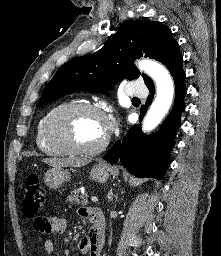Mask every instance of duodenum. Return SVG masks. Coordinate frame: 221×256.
Returning a JSON list of instances; mask_svg holds the SVG:
<instances>
[{
	"mask_svg": "<svg viewBox=\"0 0 221 256\" xmlns=\"http://www.w3.org/2000/svg\"><path fill=\"white\" fill-rule=\"evenodd\" d=\"M93 235L96 239L103 240L105 219L101 210L96 209L92 215Z\"/></svg>",
	"mask_w": 221,
	"mask_h": 256,
	"instance_id": "410a0bca",
	"label": "duodenum"
}]
</instances>
